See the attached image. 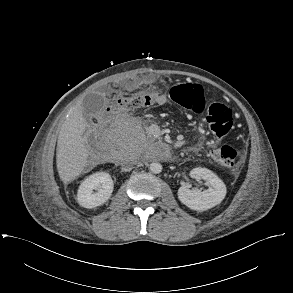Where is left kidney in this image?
I'll list each match as a JSON object with an SVG mask.
<instances>
[{"label":"left kidney","mask_w":293,"mask_h":293,"mask_svg":"<svg viewBox=\"0 0 293 293\" xmlns=\"http://www.w3.org/2000/svg\"><path fill=\"white\" fill-rule=\"evenodd\" d=\"M190 176L206 181L209 188L204 191L181 186L178 189V199L192 210L204 211L222 202L226 196L224 182L211 170L197 167L190 171Z\"/></svg>","instance_id":"5707ae66"}]
</instances>
